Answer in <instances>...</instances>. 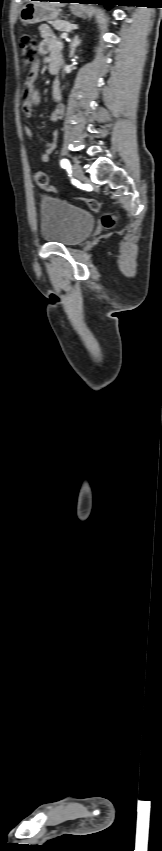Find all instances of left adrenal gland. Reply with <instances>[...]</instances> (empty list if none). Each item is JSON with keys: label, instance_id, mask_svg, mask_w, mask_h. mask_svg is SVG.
Masks as SVG:
<instances>
[{"label": "left adrenal gland", "instance_id": "left-adrenal-gland-1", "mask_svg": "<svg viewBox=\"0 0 162 851\" xmlns=\"http://www.w3.org/2000/svg\"><path fill=\"white\" fill-rule=\"evenodd\" d=\"M80 43H81V40L78 38L77 35H75L72 42L70 43V54H69L70 58L74 56L75 50L80 45Z\"/></svg>", "mask_w": 162, "mask_h": 851}]
</instances>
